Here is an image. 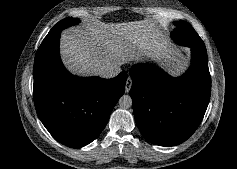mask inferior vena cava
<instances>
[{"label":"inferior vena cava","instance_id":"obj_1","mask_svg":"<svg viewBox=\"0 0 237 169\" xmlns=\"http://www.w3.org/2000/svg\"><path fill=\"white\" fill-rule=\"evenodd\" d=\"M121 69L119 65H109L104 67L100 71V76L102 78H113L116 77L120 73Z\"/></svg>","mask_w":237,"mask_h":169}]
</instances>
